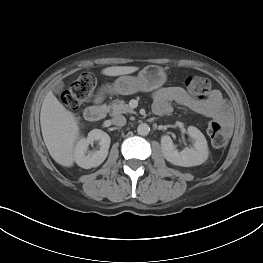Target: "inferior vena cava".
Here are the masks:
<instances>
[{
	"label": "inferior vena cava",
	"instance_id": "obj_1",
	"mask_svg": "<svg viewBox=\"0 0 263 263\" xmlns=\"http://www.w3.org/2000/svg\"><path fill=\"white\" fill-rule=\"evenodd\" d=\"M112 123L116 126H124L126 124V118L123 115H115L112 118Z\"/></svg>",
	"mask_w": 263,
	"mask_h": 263
}]
</instances>
